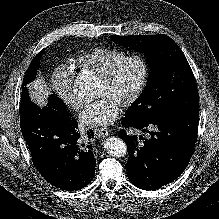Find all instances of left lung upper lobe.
Segmentation results:
<instances>
[{"mask_svg": "<svg viewBox=\"0 0 219 219\" xmlns=\"http://www.w3.org/2000/svg\"><path fill=\"white\" fill-rule=\"evenodd\" d=\"M111 39L144 52L151 69L144 91L127 110L125 118L164 119L198 110L199 95L193 72L183 52L169 36L112 35Z\"/></svg>", "mask_w": 219, "mask_h": 219, "instance_id": "left-lung-upper-lobe-1", "label": "left lung upper lobe"}]
</instances>
